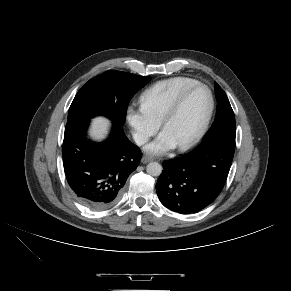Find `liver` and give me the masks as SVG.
Listing matches in <instances>:
<instances>
[{
  "label": "liver",
  "instance_id": "1",
  "mask_svg": "<svg viewBox=\"0 0 291 291\" xmlns=\"http://www.w3.org/2000/svg\"><path fill=\"white\" fill-rule=\"evenodd\" d=\"M109 120L104 117H96L92 120L90 134L95 139H102L109 127Z\"/></svg>",
  "mask_w": 291,
  "mask_h": 291
}]
</instances>
